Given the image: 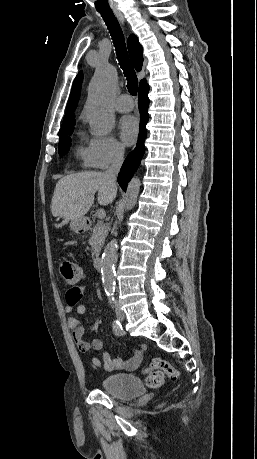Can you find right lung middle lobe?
<instances>
[{
    "mask_svg": "<svg viewBox=\"0 0 257 459\" xmlns=\"http://www.w3.org/2000/svg\"><path fill=\"white\" fill-rule=\"evenodd\" d=\"M73 129L74 127L60 132V141L58 145V153L60 154V156L65 154L71 145V138L69 137V135L72 134Z\"/></svg>",
    "mask_w": 257,
    "mask_h": 459,
    "instance_id": "dd1d6c3e",
    "label": "right lung middle lobe"
}]
</instances>
